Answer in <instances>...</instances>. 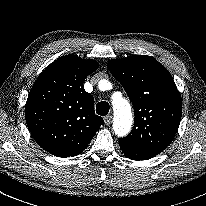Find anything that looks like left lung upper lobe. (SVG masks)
<instances>
[{"instance_id": "5c2ea615", "label": "left lung upper lobe", "mask_w": 206, "mask_h": 206, "mask_svg": "<svg viewBox=\"0 0 206 206\" xmlns=\"http://www.w3.org/2000/svg\"><path fill=\"white\" fill-rule=\"evenodd\" d=\"M107 66L135 109L133 129L119 143L158 155L172 142L182 116V98L173 78L150 56L113 59Z\"/></svg>"}]
</instances>
